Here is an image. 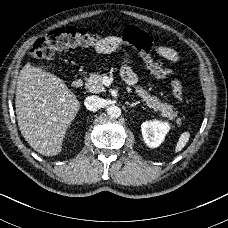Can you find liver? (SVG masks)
I'll return each instance as SVG.
<instances>
[{
    "label": "liver",
    "mask_w": 228,
    "mask_h": 228,
    "mask_svg": "<svg viewBox=\"0 0 228 228\" xmlns=\"http://www.w3.org/2000/svg\"><path fill=\"white\" fill-rule=\"evenodd\" d=\"M15 107L27 143L44 156H55L80 102L60 78L27 63L20 71Z\"/></svg>",
    "instance_id": "liver-1"
}]
</instances>
